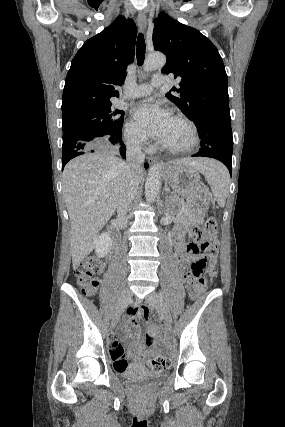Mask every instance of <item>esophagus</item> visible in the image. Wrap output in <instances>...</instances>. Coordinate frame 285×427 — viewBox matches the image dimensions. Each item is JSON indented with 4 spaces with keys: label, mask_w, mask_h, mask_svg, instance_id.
<instances>
[{
    "label": "esophagus",
    "mask_w": 285,
    "mask_h": 427,
    "mask_svg": "<svg viewBox=\"0 0 285 427\" xmlns=\"http://www.w3.org/2000/svg\"><path fill=\"white\" fill-rule=\"evenodd\" d=\"M138 25L141 29L142 32L146 31V27H147V19H146V15L143 11H139L138 13ZM157 158L154 156H149L148 157V162L150 165L154 164L155 162H157Z\"/></svg>",
    "instance_id": "34e87169"
}]
</instances>
